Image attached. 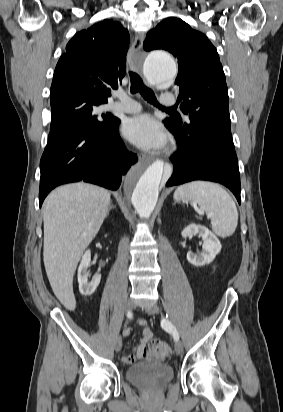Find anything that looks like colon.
Listing matches in <instances>:
<instances>
[{
	"label": "colon",
	"mask_w": 283,
	"mask_h": 412,
	"mask_svg": "<svg viewBox=\"0 0 283 412\" xmlns=\"http://www.w3.org/2000/svg\"><path fill=\"white\" fill-rule=\"evenodd\" d=\"M149 349L152 355L156 358L166 357L170 354V351H171L167 343L161 340H158V339H154L150 341Z\"/></svg>",
	"instance_id": "colon-1"
}]
</instances>
